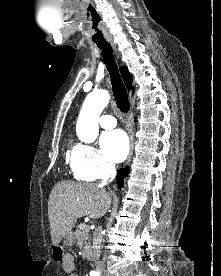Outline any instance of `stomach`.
<instances>
[{"label":"stomach","mask_w":221,"mask_h":276,"mask_svg":"<svg viewBox=\"0 0 221 276\" xmlns=\"http://www.w3.org/2000/svg\"><path fill=\"white\" fill-rule=\"evenodd\" d=\"M65 245L71 246L74 244L75 242V236L73 234V232L68 233L63 240Z\"/></svg>","instance_id":"1"}]
</instances>
